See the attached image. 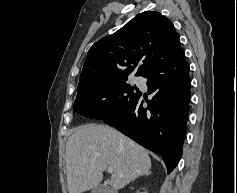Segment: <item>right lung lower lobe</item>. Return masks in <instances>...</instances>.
I'll list each match as a JSON object with an SVG mask.
<instances>
[{
  "label": "right lung lower lobe",
  "mask_w": 237,
  "mask_h": 193,
  "mask_svg": "<svg viewBox=\"0 0 237 193\" xmlns=\"http://www.w3.org/2000/svg\"><path fill=\"white\" fill-rule=\"evenodd\" d=\"M148 93L153 94L144 108L141 92L123 110L102 119L135 142L160 154L168 173L182 154L189 111V64L181 49L160 62L145 76Z\"/></svg>",
  "instance_id": "obj_1"
}]
</instances>
